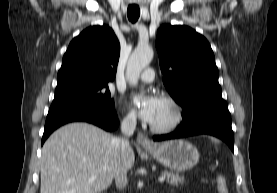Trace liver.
I'll list each match as a JSON object with an SVG mask.
<instances>
[{
  "instance_id": "obj_1",
  "label": "liver",
  "mask_w": 277,
  "mask_h": 193,
  "mask_svg": "<svg viewBox=\"0 0 277 193\" xmlns=\"http://www.w3.org/2000/svg\"><path fill=\"white\" fill-rule=\"evenodd\" d=\"M115 137L88 123H71L44 143L40 193H98L123 169L132 168L130 147L124 164Z\"/></svg>"
}]
</instances>
